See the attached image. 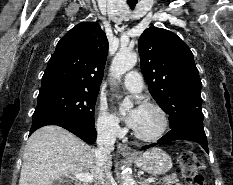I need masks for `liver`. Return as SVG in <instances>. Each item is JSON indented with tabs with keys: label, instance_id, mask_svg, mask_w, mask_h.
<instances>
[{
	"label": "liver",
	"instance_id": "obj_1",
	"mask_svg": "<svg viewBox=\"0 0 233 185\" xmlns=\"http://www.w3.org/2000/svg\"><path fill=\"white\" fill-rule=\"evenodd\" d=\"M95 149L55 125L36 130L26 143L18 185H53L70 174L98 179ZM107 166H112L109 155Z\"/></svg>",
	"mask_w": 233,
	"mask_h": 185
}]
</instances>
